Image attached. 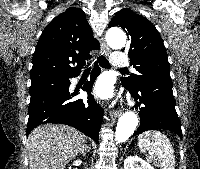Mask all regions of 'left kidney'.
<instances>
[{
  "label": "left kidney",
  "instance_id": "1",
  "mask_svg": "<svg viewBox=\"0 0 200 169\" xmlns=\"http://www.w3.org/2000/svg\"><path fill=\"white\" fill-rule=\"evenodd\" d=\"M124 169H154L148 162L138 156H128L124 160Z\"/></svg>",
  "mask_w": 200,
  "mask_h": 169
}]
</instances>
